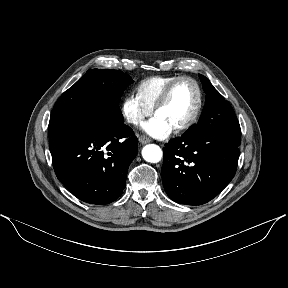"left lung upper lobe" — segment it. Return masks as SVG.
<instances>
[{"label": "left lung upper lobe", "instance_id": "1", "mask_svg": "<svg viewBox=\"0 0 288 288\" xmlns=\"http://www.w3.org/2000/svg\"><path fill=\"white\" fill-rule=\"evenodd\" d=\"M199 77L207 94L205 106L199 122L192 125L185 134L192 135L205 131L240 145L241 129L231 105L205 76L199 74Z\"/></svg>", "mask_w": 288, "mask_h": 288}]
</instances>
